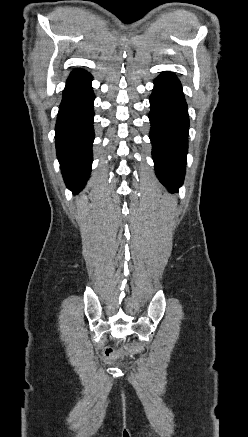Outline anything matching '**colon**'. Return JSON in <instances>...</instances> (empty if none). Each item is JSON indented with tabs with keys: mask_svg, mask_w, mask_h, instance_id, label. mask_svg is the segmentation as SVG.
I'll return each instance as SVG.
<instances>
[{
	"mask_svg": "<svg viewBox=\"0 0 248 437\" xmlns=\"http://www.w3.org/2000/svg\"><path fill=\"white\" fill-rule=\"evenodd\" d=\"M125 349H126V351H128V352H132V351H134L136 348H135V346H133L132 344H129V345H127V346H125ZM114 354V350H113V348H107L106 350H105V355H106V357H110V356H112Z\"/></svg>",
	"mask_w": 248,
	"mask_h": 437,
	"instance_id": "1",
	"label": "colon"
}]
</instances>
